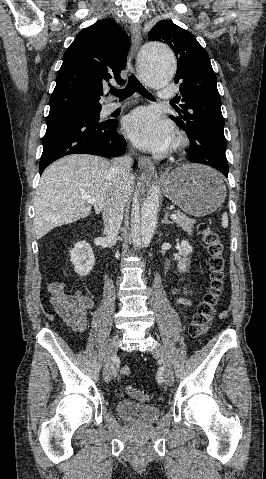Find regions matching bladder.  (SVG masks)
<instances>
[{
  "mask_svg": "<svg viewBox=\"0 0 266 479\" xmlns=\"http://www.w3.org/2000/svg\"><path fill=\"white\" fill-rule=\"evenodd\" d=\"M120 417L133 424H151L160 416V408L147 403L123 400L116 403Z\"/></svg>",
  "mask_w": 266,
  "mask_h": 479,
  "instance_id": "obj_1",
  "label": "bladder"
}]
</instances>
